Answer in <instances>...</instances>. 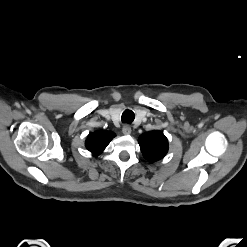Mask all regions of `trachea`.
Returning <instances> with one entry per match:
<instances>
[{
    "mask_svg": "<svg viewBox=\"0 0 247 247\" xmlns=\"http://www.w3.org/2000/svg\"><path fill=\"white\" fill-rule=\"evenodd\" d=\"M135 118V114L133 111L126 109L122 114V122L124 123H132Z\"/></svg>",
    "mask_w": 247,
    "mask_h": 247,
    "instance_id": "1",
    "label": "trachea"
}]
</instances>
